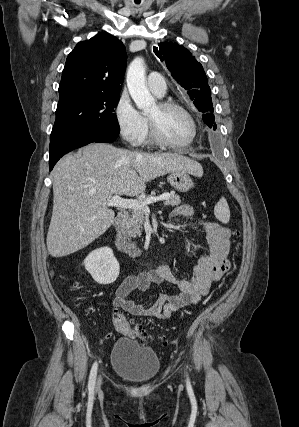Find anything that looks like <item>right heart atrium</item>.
Here are the masks:
<instances>
[{
	"label": "right heart atrium",
	"instance_id": "right-heart-atrium-1",
	"mask_svg": "<svg viewBox=\"0 0 299 427\" xmlns=\"http://www.w3.org/2000/svg\"><path fill=\"white\" fill-rule=\"evenodd\" d=\"M114 117L122 139L131 145L143 142L147 121L136 109L127 92H122L114 107Z\"/></svg>",
	"mask_w": 299,
	"mask_h": 427
}]
</instances>
